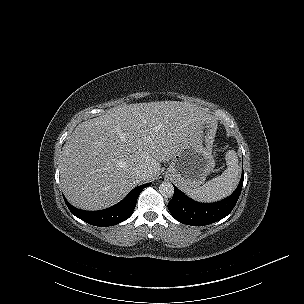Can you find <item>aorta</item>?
Listing matches in <instances>:
<instances>
[{
	"label": "aorta",
	"mask_w": 304,
	"mask_h": 304,
	"mask_svg": "<svg viewBox=\"0 0 304 304\" xmlns=\"http://www.w3.org/2000/svg\"><path fill=\"white\" fill-rule=\"evenodd\" d=\"M159 193L165 198H171L174 195V187L170 182H162L159 186Z\"/></svg>",
	"instance_id": "1"
}]
</instances>
